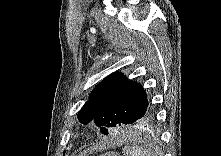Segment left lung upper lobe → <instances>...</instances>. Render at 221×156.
<instances>
[{
    "mask_svg": "<svg viewBox=\"0 0 221 156\" xmlns=\"http://www.w3.org/2000/svg\"><path fill=\"white\" fill-rule=\"evenodd\" d=\"M152 112L142 85L127 80L122 73L107 76L92 91L89 100L78 112V120L90 121L107 135L109 128L124 124H136Z\"/></svg>",
    "mask_w": 221,
    "mask_h": 156,
    "instance_id": "obj_1",
    "label": "left lung upper lobe"
}]
</instances>
